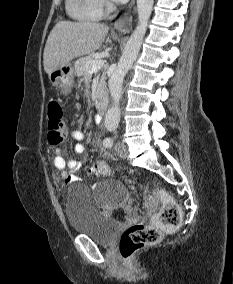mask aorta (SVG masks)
Returning a JSON list of instances; mask_svg holds the SVG:
<instances>
[{"instance_id": "aorta-1", "label": "aorta", "mask_w": 233, "mask_h": 284, "mask_svg": "<svg viewBox=\"0 0 233 284\" xmlns=\"http://www.w3.org/2000/svg\"><path fill=\"white\" fill-rule=\"evenodd\" d=\"M153 3L154 0H137L138 25L131 34L119 63L109 79V90L113 101V105L107 111L105 117V127L109 130L115 129L119 124V105L122 97L123 80L140 50L152 13Z\"/></svg>"}]
</instances>
